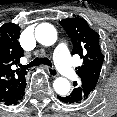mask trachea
Returning <instances> with one entry per match:
<instances>
[{
	"instance_id": "obj_1",
	"label": "trachea",
	"mask_w": 117,
	"mask_h": 117,
	"mask_svg": "<svg viewBox=\"0 0 117 117\" xmlns=\"http://www.w3.org/2000/svg\"><path fill=\"white\" fill-rule=\"evenodd\" d=\"M40 63L52 67V63H51V61L48 58H46V57H36L29 64H27V65H20V68L21 69H29V68L36 67V66L40 65Z\"/></svg>"
}]
</instances>
